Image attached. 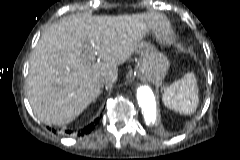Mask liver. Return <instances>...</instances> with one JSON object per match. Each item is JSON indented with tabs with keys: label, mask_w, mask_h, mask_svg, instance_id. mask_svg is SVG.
Returning a JSON list of instances; mask_svg holds the SVG:
<instances>
[{
	"label": "liver",
	"mask_w": 240,
	"mask_h": 160,
	"mask_svg": "<svg viewBox=\"0 0 240 160\" xmlns=\"http://www.w3.org/2000/svg\"><path fill=\"white\" fill-rule=\"evenodd\" d=\"M162 38L168 24L154 12L122 16H68L52 24L30 60L27 93L45 124L70 123L115 82L117 65L140 54L149 31ZM101 61L95 62V57Z\"/></svg>",
	"instance_id": "obj_1"
}]
</instances>
